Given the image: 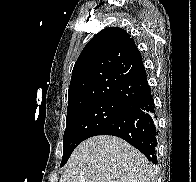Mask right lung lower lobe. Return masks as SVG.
I'll return each instance as SVG.
<instances>
[{"mask_svg":"<svg viewBox=\"0 0 196 182\" xmlns=\"http://www.w3.org/2000/svg\"><path fill=\"white\" fill-rule=\"evenodd\" d=\"M96 135L120 137L141 151L156 165L158 139L155 105L150 87L131 104V107L98 129Z\"/></svg>","mask_w":196,"mask_h":182,"instance_id":"98d812e1","label":"right lung lower lobe"}]
</instances>
